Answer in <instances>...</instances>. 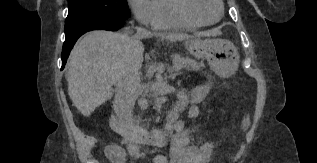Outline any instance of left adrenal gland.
Instances as JSON below:
<instances>
[{
  "instance_id": "a2214340",
  "label": "left adrenal gland",
  "mask_w": 317,
  "mask_h": 163,
  "mask_svg": "<svg viewBox=\"0 0 317 163\" xmlns=\"http://www.w3.org/2000/svg\"><path fill=\"white\" fill-rule=\"evenodd\" d=\"M169 74H170V78L173 80L175 79L177 75H179V73H174L172 70H169Z\"/></svg>"
}]
</instances>
